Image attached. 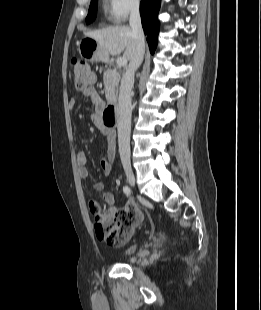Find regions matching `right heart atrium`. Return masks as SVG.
I'll list each match as a JSON object with an SVG mask.
<instances>
[{
	"instance_id": "d8ad5b80",
	"label": "right heart atrium",
	"mask_w": 261,
	"mask_h": 310,
	"mask_svg": "<svg viewBox=\"0 0 261 310\" xmlns=\"http://www.w3.org/2000/svg\"><path fill=\"white\" fill-rule=\"evenodd\" d=\"M109 18L114 23H123L139 12L141 0H108Z\"/></svg>"
}]
</instances>
